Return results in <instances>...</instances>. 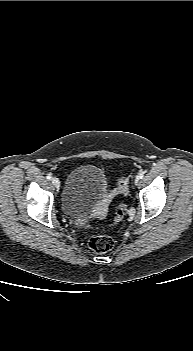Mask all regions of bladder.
I'll use <instances>...</instances> for the list:
<instances>
[{
	"label": "bladder",
	"instance_id": "31cf9c89",
	"mask_svg": "<svg viewBox=\"0 0 193 351\" xmlns=\"http://www.w3.org/2000/svg\"><path fill=\"white\" fill-rule=\"evenodd\" d=\"M108 179L104 171L94 165L73 169L65 183L61 206L64 214L72 219L92 215L102 200H107Z\"/></svg>",
	"mask_w": 193,
	"mask_h": 351
}]
</instances>
